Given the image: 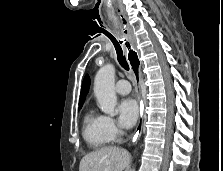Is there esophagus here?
<instances>
[{
	"instance_id": "1",
	"label": "esophagus",
	"mask_w": 223,
	"mask_h": 171,
	"mask_svg": "<svg viewBox=\"0 0 223 171\" xmlns=\"http://www.w3.org/2000/svg\"><path fill=\"white\" fill-rule=\"evenodd\" d=\"M114 18L118 17L117 13L113 14ZM132 49L134 50V48L132 47ZM127 58H128V62L132 71V74L134 76V81H135V88H136V92H137V96H138V100L140 102V118H139V122L135 131V134L133 136V142H136L142 133V113L143 110L141 108L142 106V98H141V88H140V72H141V61L139 59V55L137 51H128L127 52Z\"/></svg>"
}]
</instances>
